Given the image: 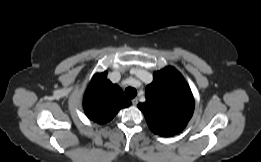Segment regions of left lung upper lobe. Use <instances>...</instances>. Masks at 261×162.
<instances>
[{"mask_svg":"<svg viewBox=\"0 0 261 162\" xmlns=\"http://www.w3.org/2000/svg\"><path fill=\"white\" fill-rule=\"evenodd\" d=\"M146 101L138 104L150 130L169 137L181 132L191 119L194 98L183 76L173 67L154 72L146 87Z\"/></svg>","mask_w":261,"mask_h":162,"instance_id":"obj_1","label":"left lung upper lobe"}]
</instances>
